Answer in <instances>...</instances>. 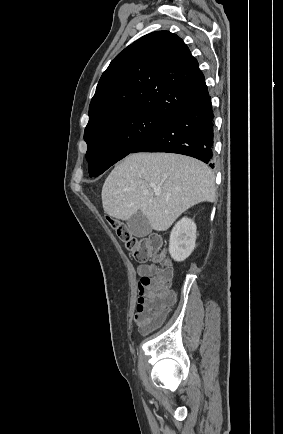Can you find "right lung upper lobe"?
I'll list each match as a JSON object with an SVG mask.
<instances>
[{
  "instance_id": "right-lung-upper-lobe-1",
  "label": "right lung upper lobe",
  "mask_w": 283,
  "mask_h": 434,
  "mask_svg": "<svg viewBox=\"0 0 283 434\" xmlns=\"http://www.w3.org/2000/svg\"><path fill=\"white\" fill-rule=\"evenodd\" d=\"M207 95L204 75L183 40L169 31L152 32L126 47L104 71L85 129L138 111L171 118Z\"/></svg>"
}]
</instances>
